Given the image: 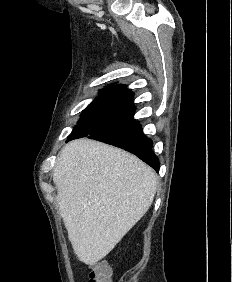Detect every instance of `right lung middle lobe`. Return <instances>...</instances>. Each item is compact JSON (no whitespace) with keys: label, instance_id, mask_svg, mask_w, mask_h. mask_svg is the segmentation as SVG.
I'll list each match as a JSON object with an SVG mask.
<instances>
[{"label":"right lung middle lobe","instance_id":"dd1d6c3e","mask_svg":"<svg viewBox=\"0 0 232 282\" xmlns=\"http://www.w3.org/2000/svg\"><path fill=\"white\" fill-rule=\"evenodd\" d=\"M133 93L109 91L93 100L82 112L69 139L117 130L137 123L134 117Z\"/></svg>","mask_w":232,"mask_h":282}]
</instances>
